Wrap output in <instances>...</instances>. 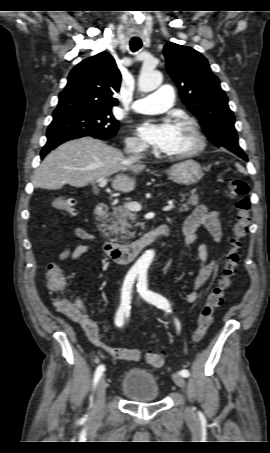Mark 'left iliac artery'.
Returning <instances> with one entry per match:
<instances>
[{"mask_svg":"<svg viewBox=\"0 0 270 453\" xmlns=\"http://www.w3.org/2000/svg\"><path fill=\"white\" fill-rule=\"evenodd\" d=\"M147 275L144 272H140L138 276V292L140 295L149 303L161 308L167 312H171L170 304L168 300L160 294L154 293L147 288ZM176 325L178 330L180 329V324L176 320ZM179 374L183 377L189 376V371L187 369H182Z\"/></svg>","mask_w":270,"mask_h":453,"instance_id":"1","label":"left iliac artery"}]
</instances>
